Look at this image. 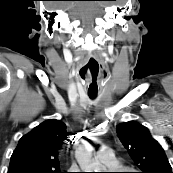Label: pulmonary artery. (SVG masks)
<instances>
[{
  "label": "pulmonary artery",
  "instance_id": "pulmonary-artery-1",
  "mask_svg": "<svg viewBox=\"0 0 173 173\" xmlns=\"http://www.w3.org/2000/svg\"><path fill=\"white\" fill-rule=\"evenodd\" d=\"M95 159L105 164L109 168H114L117 164L115 160L114 152L109 147H101L96 152Z\"/></svg>",
  "mask_w": 173,
  "mask_h": 173
}]
</instances>
